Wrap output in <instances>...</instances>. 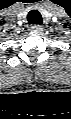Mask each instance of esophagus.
Returning <instances> with one entry per match:
<instances>
[{
    "instance_id": "34e87169",
    "label": "esophagus",
    "mask_w": 71,
    "mask_h": 119,
    "mask_svg": "<svg viewBox=\"0 0 71 119\" xmlns=\"http://www.w3.org/2000/svg\"><path fill=\"white\" fill-rule=\"evenodd\" d=\"M42 29H43L42 26L39 25V24H34V25L31 26V30L33 32L40 33L42 31Z\"/></svg>"
}]
</instances>
